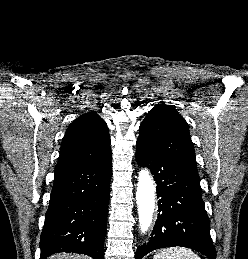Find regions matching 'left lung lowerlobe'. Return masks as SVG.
Returning <instances> with one entry per match:
<instances>
[{"label":"left lung lower lobe","mask_w":248,"mask_h":259,"mask_svg":"<svg viewBox=\"0 0 248 259\" xmlns=\"http://www.w3.org/2000/svg\"><path fill=\"white\" fill-rule=\"evenodd\" d=\"M136 159L139 166L148 167L154 175L159 198V214L151 238L138 248L136 259L153 250L173 246L188 247L216 259L200 179L139 141Z\"/></svg>","instance_id":"1"}]
</instances>
